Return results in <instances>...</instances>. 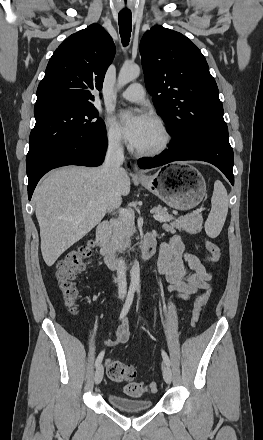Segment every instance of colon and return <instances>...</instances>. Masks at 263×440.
<instances>
[{"label": "colon", "mask_w": 263, "mask_h": 440, "mask_svg": "<svg viewBox=\"0 0 263 440\" xmlns=\"http://www.w3.org/2000/svg\"><path fill=\"white\" fill-rule=\"evenodd\" d=\"M205 247L210 254V262L212 264L217 263L220 258L219 246L212 241H206ZM93 249L94 242L91 240L78 251L70 253L59 260L55 266V281L63 294L67 306L73 313L77 312L76 301L79 297V290L76 286L75 278L77 274L92 261ZM208 298V292H204L197 298L193 312V325L199 322ZM105 368L108 378L115 382L130 381L136 376V369L133 365L118 360H107ZM124 390L128 395L140 396L145 392H156L157 384L155 382L129 383L125 386Z\"/></svg>", "instance_id": "5ec220e1"}]
</instances>
